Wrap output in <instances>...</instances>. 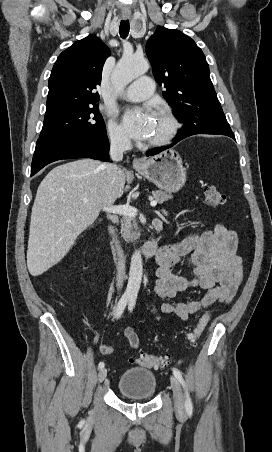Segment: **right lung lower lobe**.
<instances>
[{
    "label": "right lung lower lobe",
    "instance_id": "right-lung-lower-lobe-1",
    "mask_svg": "<svg viewBox=\"0 0 272 452\" xmlns=\"http://www.w3.org/2000/svg\"><path fill=\"white\" fill-rule=\"evenodd\" d=\"M72 158L110 161L107 135L100 138L89 136L39 138L32 160L31 176L51 162Z\"/></svg>",
    "mask_w": 272,
    "mask_h": 452
}]
</instances>
